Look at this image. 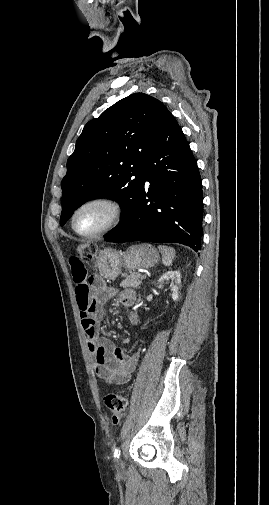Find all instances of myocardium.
<instances>
[{
    "mask_svg": "<svg viewBox=\"0 0 269 505\" xmlns=\"http://www.w3.org/2000/svg\"><path fill=\"white\" fill-rule=\"evenodd\" d=\"M92 204H105L109 206L112 210V217L110 221L101 229L92 233H81L76 229L75 226L76 216L84 207ZM123 216H124V208L119 200H117L114 197L106 195L95 196L85 200L74 210L71 217V228L80 237L95 238L109 232L110 230L118 226L121 223Z\"/></svg>",
    "mask_w": 269,
    "mask_h": 505,
    "instance_id": "myocardium-1",
    "label": "myocardium"
}]
</instances>
